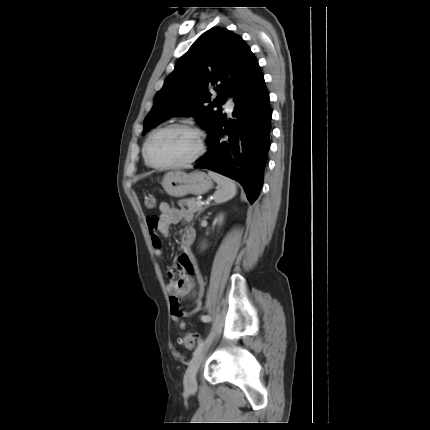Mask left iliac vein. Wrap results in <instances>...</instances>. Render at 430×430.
<instances>
[{"label": "left iliac vein", "instance_id": "4c4485c4", "mask_svg": "<svg viewBox=\"0 0 430 430\" xmlns=\"http://www.w3.org/2000/svg\"><path fill=\"white\" fill-rule=\"evenodd\" d=\"M211 342L212 336L209 335L205 339L202 348L194 355L193 359L191 360L184 376V385L186 389L195 390L197 388L196 374Z\"/></svg>", "mask_w": 430, "mask_h": 430}]
</instances>
